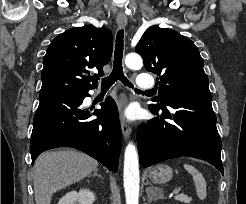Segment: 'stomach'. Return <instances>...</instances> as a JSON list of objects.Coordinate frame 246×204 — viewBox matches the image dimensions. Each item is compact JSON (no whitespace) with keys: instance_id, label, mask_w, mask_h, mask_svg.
I'll use <instances>...</instances> for the list:
<instances>
[{"instance_id":"stomach-1","label":"stomach","mask_w":246,"mask_h":204,"mask_svg":"<svg viewBox=\"0 0 246 204\" xmlns=\"http://www.w3.org/2000/svg\"><path fill=\"white\" fill-rule=\"evenodd\" d=\"M172 176V169L164 164L154 166L148 172L149 179L155 184L166 183L171 180Z\"/></svg>"}]
</instances>
